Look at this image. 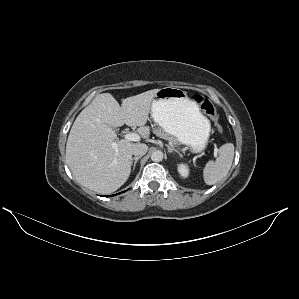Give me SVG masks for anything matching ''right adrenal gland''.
<instances>
[{"instance_id": "obj_1", "label": "right adrenal gland", "mask_w": 299, "mask_h": 299, "mask_svg": "<svg viewBox=\"0 0 299 299\" xmlns=\"http://www.w3.org/2000/svg\"><path fill=\"white\" fill-rule=\"evenodd\" d=\"M141 157H142V156H137V157H134V158L132 159V165H133L132 170H133V171L135 170V168H136V164H137L138 160L141 159Z\"/></svg>"}]
</instances>
